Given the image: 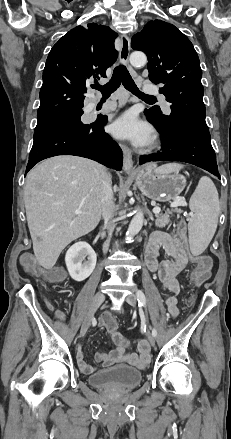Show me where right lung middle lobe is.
Listing matches in <instances>:
<instances>
[{
	"label": "right lung middle lobe",
	"mask_w": 231,
	"mask_h": 439,
	"mask_svg": "<svg viewBox=\"0 0 231 439\" xmlns=\"http://www.w3.org/2000/svg\"><path fill=\"white\" fill-rule=\"evenodd\" d=\"M82 114H83L82 109H77V110H71L57 115H53L50 117L38 119L35 131L51 125L62 124V123L83 125L84 123L81 121Z\"/></svg>",
	"instance_id": "right-lung-middle-lobe-1"
}]
</instances>
